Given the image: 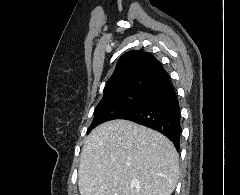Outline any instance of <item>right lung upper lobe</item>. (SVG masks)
I'll return each mask as SVG.
<instances>
[{"instance_id":"1","label":"right lung upper lobe","mask_w":240,"mask_h":195,"mask_svg":"<svg viewBox=\"0 0 240 195\" xmlns=\"http://www.w3.org/2000/svg\"><path fill=\"white\" fill-rule=\"evenodd\" d=\"M167 79V72L150 53L132 50L119 58L115 71L105 86L104 96L121 92L147 93Z\"/></svg>"}]
</instances>
